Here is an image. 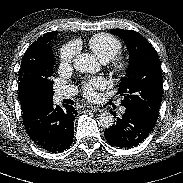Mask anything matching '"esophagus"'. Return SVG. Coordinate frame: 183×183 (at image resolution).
Segmentation results:
<instances>
[{
	"mask_svg": "<svg viewBox=\"0 0 183 183\" xmlns=\"http://www.w3.org/2000/svg\"><path fill=\"white\" fill-rule=\"evenodd\" d=\"M84 108L89 109V110H91L93 112H96V111L99 110L97 107L91 106V105L84 106Z\"/></svg>",
	"mask_w": 183,
	"mask_h": 183,
	"instance_id": "esophagus-1",
	"label": "esophagus"
}]
</instances>
